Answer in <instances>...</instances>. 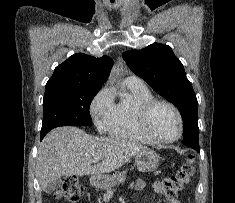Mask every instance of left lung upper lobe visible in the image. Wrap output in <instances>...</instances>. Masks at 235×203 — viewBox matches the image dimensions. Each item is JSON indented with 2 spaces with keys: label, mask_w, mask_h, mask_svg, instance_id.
<instances>
[{
  "label": "left lung upper lobe",
  "mask_w": 235,
  "mask_h": 203,
  "mask_svg": "<svg viewBox=\"0 0 235 203\" xmlns=\"http://www.w3.org/2000/svg\"><path fill=\"white\" fill-rule=\"evenodd\" d=\"M123 58L137 76L179 109L184 131L193 133V144L199 147L197 98L171 47L153 43L141 50L126 51Z\"/></svg>",
  "instance_id": "left-lung-upper-lobe-1"
}]
</instances>
